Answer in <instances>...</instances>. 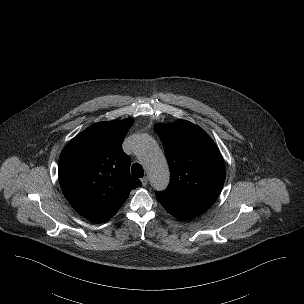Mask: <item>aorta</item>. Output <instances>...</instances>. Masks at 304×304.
<instances>
[{"label": "aorta", "mask_w": 304, "mask_h": 304, "mask_svg": "<svg viewBox=\"0 0 304 304\" xmlns=\"http://www.w3.org/2000/svg\"><path fill=\"white\" fill-rule=\"evenodd\" d=\"M135 153L142 159L150 176L152 187L161 191L169 183V167L161 149L148 134H140L133 145Z\"/></svg>", "instance_id": "obj_1"}]
</instances>
